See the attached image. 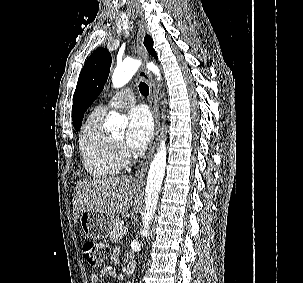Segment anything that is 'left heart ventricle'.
Wrapping results in <instances>:
<instances>
[{
    "label": "left heart ventricle",
    "instance_id": "b2bd125f",
    "mask_svg": "<svg viewBox=\"0 0 303 283\" xmlns=\"http://www.w3.org/2000/svg\"><path fill=\"white\" fill-rule=\"evenodd\" d=\"M115 138H116L117 140L122 141V140H123V134L116 135Z\"/></svg>",
    "mask_w": 303,
    "mask_h": 283
}]
</instances>
